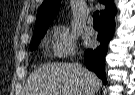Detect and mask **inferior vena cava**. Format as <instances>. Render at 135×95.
<instances>
[{"instance_id": "obj_1", "label": "inferior vena cava", "mask_w": 135, "mask_h": 95, "mask_svg": "<svg viewBox=\"0 0 135 95\" xmlns=\"http://www.w3.org/2000/svg\"><path fill=\"white\" fill-rule=\"evenodd\" d=\"M74 66L78 69H80V66L78 64H74ZM87 95H89V93H86Z\"/></svg>"}]
</instances>
